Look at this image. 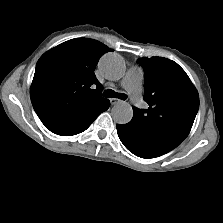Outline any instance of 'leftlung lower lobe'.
Segmentation results:
<instances>
[{
	"instance_id": "0a47b994",
	"label": "left lung lower lobe",
	"mask_w": 223,
	"mask_h": 223,
	"mask_svg": "<svg viewBox=\"0 0 223 223\" xmlns=\"http://www.w3.org/2000/svg\"><path fill=\"white\" fill-rule=\"evenodd\" d=\"M118 136L123 145L134 155L141 158H155L168 153L172 148L145 138L131 121L125 125H116Z\"/></svg>"
}]
</instances>
